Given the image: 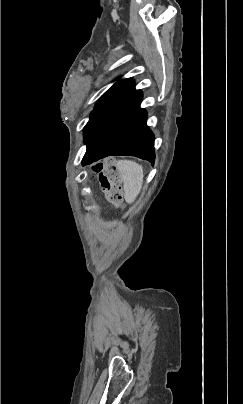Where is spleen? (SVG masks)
I'll return each instance as SVG.
<instances>
[{
  "label": "spleen",
  "mask_w": 243,
  "mask_h": 404,
  "mask_svg": "<svg viewBox=\"0 0 243 404\" xmlns=\"http://www.w3.org/2000/svg\"><path fill=\"white\" fill-rule=\"evenodd\" d=\"M118 168L123 180L125 202L133 204L141 192L144 178L143 166L131 160H119Z\"/></svg>",
  "instance_id": "3e777b00"
}]
</instances>
